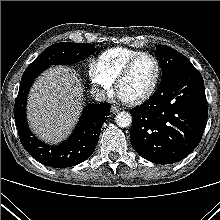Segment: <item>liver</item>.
Instances as JSON below:
<instances>
[{
	"label": "liver",
	"mask_w": 220,
	"mask_h": 220,
	"mask_svg": "<svg viewBox=\"0 0 220 220\" xmlns=\"http://www.w3.org/2000/svg\"><path fill=\"white\" fill-rule=\"evenodd\" d=\"M83 102L82 82L75 71L53 67L34 82L27 102L29 126L38 138L56 144L76 124Z\"/></svg>",
	"instance_id": "1"
}]
</instances>
